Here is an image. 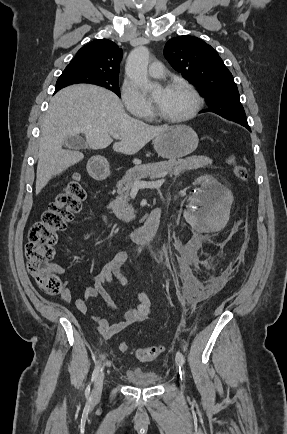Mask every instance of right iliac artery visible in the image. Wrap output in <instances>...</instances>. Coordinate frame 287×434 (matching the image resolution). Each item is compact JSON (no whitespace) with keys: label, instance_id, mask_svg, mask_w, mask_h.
Masks as SVG:
<instances>
[{"label":"right iliac artery","instance_id":"82829eb1","mask_svg":"<svg viewBox=\"0 0 287 434\" xmlns=\"http://www.w3.org/2000/svg\"><path fill=\"white\" fill-rule=\"evenodd\" d=\"M100 371H101V362H99V363L96 365V367H95V369H94V371H93V373H92L91 382H95V380H96V378L98 377V374H99ZM89 393H90V385L87 386V389H86V395L88 396Z\"/></svg>","mask_w":287,"mask_h":434}]
</instances>
